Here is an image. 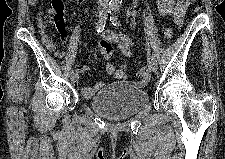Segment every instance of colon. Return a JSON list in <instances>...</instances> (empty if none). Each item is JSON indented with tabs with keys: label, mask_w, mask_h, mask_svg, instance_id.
I'll return each instance as SVG.
<instances>
[{
	"label": "colon",
	"mask_w": 225,
	"mask_h": 159,
	"mask_svg": "<svg viewBox=\"0 0 225 159\" xmlns=\"http://www.w3.org/2000/svg\"><path fill=\"white\" fill-rule=\"evenodd\" d=\"M49 18L53 23L59 28H65L64 23V10L61 0H52L51 7L49 9ZM163 35L166 40L171 39L173 31L171 28L166 27L163 29ZM102 53L106 59H110L112 56V48L109 46H104L102 48ZM138 78L142 83H147L150 80V73L148 66H142L138 71Z\"/></svg>",
	"instance_id": "5ec220e1"
}]
</instances>
